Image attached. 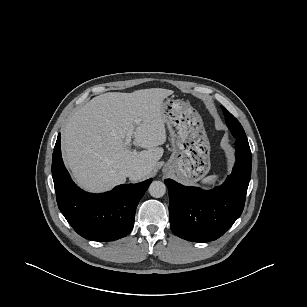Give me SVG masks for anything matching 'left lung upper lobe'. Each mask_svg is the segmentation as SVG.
Masks as SVG:
<instances>
[{
	"instance_id": "obj_1",
	"label": "left lung upper lobe",
	"mask_w": 307,
	"mask_h": 307,
	"mask_svg": "<svg viewBox=\"0 0 307 307\" xmlns=\"http://www.w3.org/2000/svg\"><path fill=\"white\" fill-rule=\"evenodd\" d=\"M223 111L226 117L227 126L231 130L233 136L238 140L248 143L244 129L239 121L231 113H229L226 108L223 107Z\"/></svg>"
}]
</instances>
